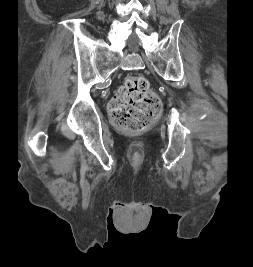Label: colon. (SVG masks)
<instances>
[{
  "label": "colon",
  "instance_id": "colon-1",
  "mask_svg": "<svg viewBox=\"0 0 253 267\" xmlns=\"http://www.w3.org/2000/svg\"><path fill=\"white\" fill-rule=\"evenodd\" d=\"M161 101L143 76H129L109 103L113 124L121 131H143L161 112Z\"/></svg>",
  "mask_w": 253,
  "mask_h": 267
}]
</instances>
